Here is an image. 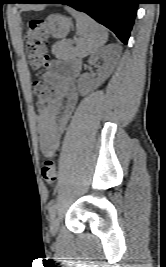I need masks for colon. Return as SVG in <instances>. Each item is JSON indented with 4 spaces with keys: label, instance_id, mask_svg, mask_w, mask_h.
<instances>
[{
    "label": "colon",
    "instance_id": "colon-1",
    "mask_svg": "<svg viewBox=\"0 0 166 267\" xmlns=\"http://www.w3.org/2000/svg\"><path fill=\"white\" fill-rule=\"evenodd\" d=\"M49 44L48 24L43 19H33L29 22L25 33L26 54L34 69H41L48 65L46 49ZM32 91L40 108L50 106L56 99V91L44 81L37 80L32 84ZM41 174L44 181L55 186L58 180L55 162L47 158L42 166Z\"/></svg>",
    "mask_w": 166,
    "mask_h": 267
}]
</instances>
